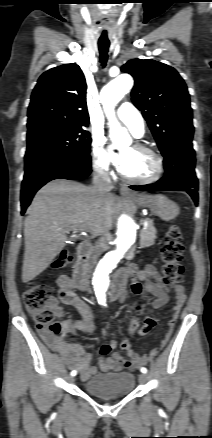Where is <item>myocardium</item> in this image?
<instances>
[{"instance_id":"myocardium-1","label":"myocardium","mask_w":212,"mask_h":438,"mask_svg":"<svg viewBox=\"0 0 212 438\" xmlns=\"http://www.w3.org/2000/svg\"><path fill=\"white\" fill-rule=\"evenodd\" d=\"M134 148L149 153L155 160L156 170L152 176L145 178V179L130 178V177L126 176L120 170L121 178L125 182L130 183V184H135V185H148V184H152V183H155L158 180H160L161 177L163 176L164 170H165L164 160H163L162 156L156 150H154L151 147H148L144 144L137 143L134 145Z\"/></svg>"}]
</instances>
